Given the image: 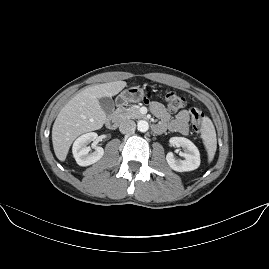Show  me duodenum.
Segmentation results:
<instances>
[{
	"instance_id": "duodenum-1",
	"label": "duodenum",
	"mask_w": 269,
	"mask_h": 269,
	"mask_svg": "<svg viewBox=\"0 0 269 269\" xmlns=\"http://www.w3.org/2000/svg\"><path fill=\"white\" fill-rule=\"evenodd\" d=\"M118 124V118L115 115H110L106 120V126L109 129H115Z\"/></svg>"
}]
</instances>
